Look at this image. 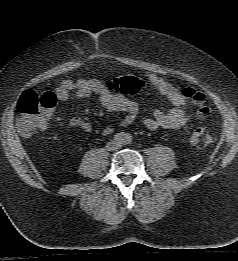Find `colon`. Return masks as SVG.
I'll return each mask as SVG.
<instances>
[{
    "mask_svg": "<svg viewBox=\"0 0 238 261\" xmlns=\"http://www.w3.org/2000/svg\"><path fill=\"white\" fill-rule=\"evenodd\" d=\"M107 86L111 92L135 94L143 87V81L134 76H124L110 81ZM182 93L193 101L201 118L209 116L210 108L206 105L204 93L191 87L183 88ZM56 102L57 100L51 92L27 91L23 93L18 101L17 127L19 132L23 136L29 137L36 130L41 129L46 122L48 112L55 106ZM212 141V133L205 126L194 128L190 136L191 144L198 148L206 147Z\"/></svg>",
    "mask_w": 238,
    "mask_h": 261,
    "instance_id": "5ec220e1",
    "label": "colon"
}]
</instances>
